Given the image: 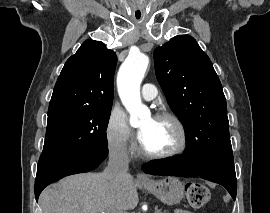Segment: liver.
<instances>
[{
	"mask_svg": "<svg viewBox=\"0 0 270 213\" xmlns=\"http://www.w3.org/2000/svg\"><path fill=\"white\" fill-rule=\"evenodd\" d=\"M138 201L131 175L115 181L105 171L66 177L39 198L42 213H122L135 208Z\"/></svg>",
	"mask_w": 270,
	"mask_h": 213,
	"instance_id": "obj_1",
	"label": "liver"
}]
</instances>
